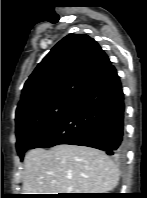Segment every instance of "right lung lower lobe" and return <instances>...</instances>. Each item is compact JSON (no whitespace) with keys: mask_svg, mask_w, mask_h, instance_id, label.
Instances as JSON below:
<instances>
[{"mask_svg":"<svg viewBox=\"0 0 147 198\" xmlns=\"http://www.w3.org/2000/svg\"><path fill=\"white\" fill-rule=\"evenodd\" d=\"M124 95L113 65L84 92L61 120L33 148L59 144L104 150L117 159L124 156Z\"/></svg>","mask_w":147,"mask_h":198,"instance_id":"1","label":"right lung lower lobe"}]
</instances>
